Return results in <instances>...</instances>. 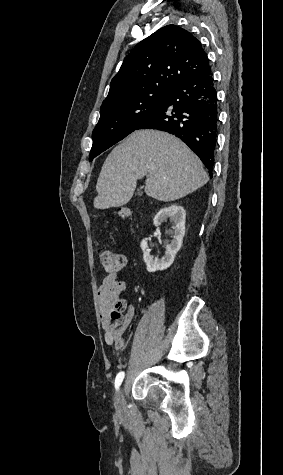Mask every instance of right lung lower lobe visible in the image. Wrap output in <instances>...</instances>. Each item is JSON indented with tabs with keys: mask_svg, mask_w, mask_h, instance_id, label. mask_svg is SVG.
Here are the masks:
<instances>
[{
	"mask_svg": "<svg viewBox=\"0 0 283 475\" xmlns=\"http://www.w3.org/2000/svg\"><path fill=\"white\" fill-rule=\"evenodd\" d=\"M212 72L174 86L157 107L137 127L168 132L195 152L210 172L218 129V103Z\"/></svg>",
	"mask_w": 283,
	"mask_h": 475,
	"instance_id": "1",
	"label": "right lung lower lobe"
}]
</instances>
